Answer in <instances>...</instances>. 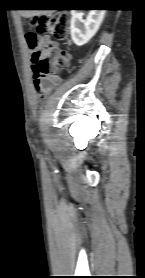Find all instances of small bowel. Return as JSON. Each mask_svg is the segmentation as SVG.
<instances>
[{"instance_id": "c3829d8e", "label": "small bowel", "mask_w": 145, "mask_h": 278, "mask_svg": "<svg viewBox=\"0 0 145 278\" xmlns=\"http://www.w3.org/2000/svg\"><path fill=\"white\" fill-rule=\"evenodd\" d=\"M39 38V40L41 41V42H43V43H50V42H52L54 45H58V43L57 42H55V41H52L51 39H50V37L49 36H41V37H38ZM51 78V76H46L44 79H41L40 81H34V83L35 84H38V86H39V88H40V90L43 92V93H45V94H47V93H49V92H51L52 90H53V88L55 87V86H57L58 84H59V82L61 81V79L59 78V82L58 83H52V84H49L48 83V80Z\"/></svg>"}]
</instances>
